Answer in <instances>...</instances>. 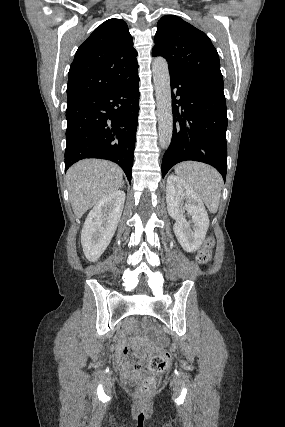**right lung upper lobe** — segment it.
Instances as JSON below:
<instances>
[{"mask_svg":"<svg viewBox=\"0 0 285 427\" xmlns=\"http://www.w3.org/2000/svg\"><path fill=\"white\" fill-rule=\"evenodd\" d=\"M136 56L125 21L102 23L75 54L68 74L67 104L133 81L138 76Z\"/></svg>","mask_w":285,"mask_h":427,"instance_id":"obj_1","label":"right lung upper lobe"}]
</instances>
